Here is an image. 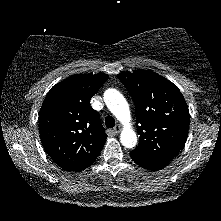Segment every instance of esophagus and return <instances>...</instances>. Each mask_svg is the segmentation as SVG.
Returning <instances> with one entry per match:
<instances>
[{
    "label": "esophagus",
    "instance_id": "obj_1",
    "mask_svg": "<svg viewBox=\"0 0 221 221\" xmlns=\"http://www.w3.org/2000/svg\"><path fill=\"white\" fill-rule=\"evenodd\" d=\"M113 131L115 134H118L120 131H121V126L120 125H116L114 128H113Z\"/></svg>",
    "mask_w": 221,
    "mask_h": 221
}]
</instances>
